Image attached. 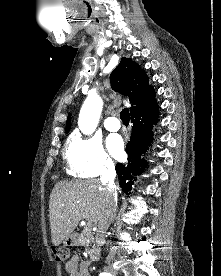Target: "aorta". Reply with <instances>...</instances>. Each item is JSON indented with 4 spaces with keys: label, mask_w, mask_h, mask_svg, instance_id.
<instances>
[{
    "label": "aorta",
    "mask_w": 221,
    "mask_h": 276,
    "mask_svg": "<svg viewBox=\"0 0 221 276\" xmlns=\"http://www.w3.org/2000/svg\"><path fill=\"white\" fill-rule=\"evenodd\" d=\"M103 101L99 96H89L79 114L78 126L84 134H92L97 125L101 115Z\"/></svg>",
    "instance_id": "aorta-1"
}]
</instances>
